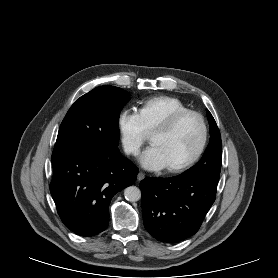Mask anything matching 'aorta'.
Wrapping results in <instances>:
<instances>
[{
    "label": "aorta",
    "mask_w": 278,
    "mask_h": 278,
    "mask_svg": "<svg viewBox=\"0 0 278 278\" xmlns=\"http://www.w3.org/2000/svg\"><path fill=\"white\" fill-rule=\"evenodd\" d=\"M124 196L127 201L136 202L141 198V191L136 186H129L124 190Z\"/></svg>",
    "instance_id": "762f6f07"
}]
</instances>
